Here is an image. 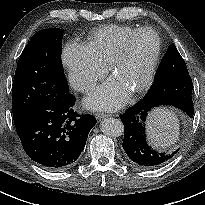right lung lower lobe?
I'll use <instances>...</instances> for the list:
<instances>
[{
    "mask_svg": "<svg viewBox=\"0 0 205 205\" xmlns=\"http://www.w3.org/2000/svg\"><path fill=\"white\" fill-rule=\"evenodd\" d=\"M74 105V96L65 93L46 100L15 125L27 155L49 170L73 166L96 124L94 116L79 115Z\"/></svg>",
    "mask_w": 205,
    "mask_h": 205,
    "instance_id": "1",
    "label": "right lung lower lobe"
}]
</instances>
